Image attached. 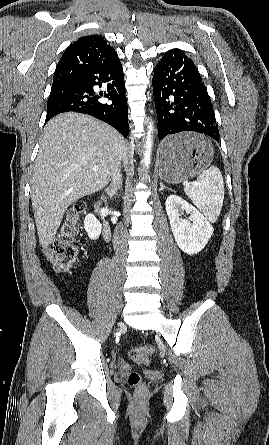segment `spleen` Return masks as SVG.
I'll use <instances>...</instances> for the list:
<instances>
[{
  "mask_svg": "<svg viewBox=\"0 0 269 445\" xmlns=\"http://www.w3.org/2000/svg\"><path fill=\"white\" fill-rule=\"evenodd\" d=\"M184 191L211 223L217 221L224 200V182L219 168L210 166L200 173L195 183L185 186Z\"/></svg>",
  "mask_w": 269,
  "mask_h": 445,
  "instance_id": "obj_1",
  "label": "spleen"
}]
</instances>
